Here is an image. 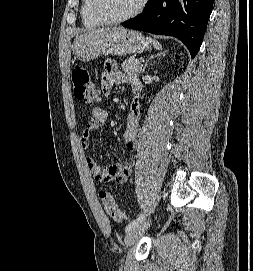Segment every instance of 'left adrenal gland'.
Returning <instances> with one entry per match:
<instances>
[{"instance_id":"1","label":"left adrenal gland","mask_w":253,"mask_h":271,"mask_svg":"<svg viewBox=\"0 0 253 271\" xmlns=\"http://www.w3.org/2000/svg\"><path fill=\"white\" fill-rule=\"evenodd\" d=\"M165 54H166V51H163V52L158 53L157 55H152V56H150V57L146 60L142 72H143V73L145 72V69H146V67H147V65H148V62H149L151 59H153L154 57H158V56H165Z\"/></svg>"}]
</instances>
